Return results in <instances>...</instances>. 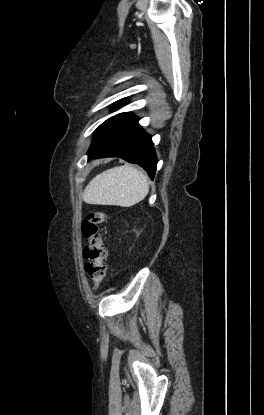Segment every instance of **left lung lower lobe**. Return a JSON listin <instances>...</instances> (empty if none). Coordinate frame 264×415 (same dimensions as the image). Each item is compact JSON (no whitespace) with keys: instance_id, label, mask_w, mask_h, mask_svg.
Segmentation results:
<instances>
[{"instance_id":"left-lung-lower-lobe-1","label":"left lung lower lobe","mask_w":264,"mask_h":415,"mask_svg":"<svg viewBox=\"0 0 264 415\" xmlns=\"http://www.w3.org/2000/svg\"><path fill=\"white\" fill-rule=\"evenodd\" d=\"M101 157H120L138 164L151 179L156 171L157 157L151 136L144 132L138 124V118L131 113L115 115L94 131L88 160Z\"/></svg>"}]
</instances>
